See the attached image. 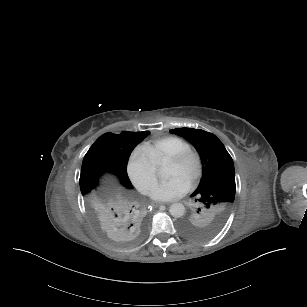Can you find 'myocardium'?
Listing matches in <instances>:
<instances>
[{
	"instance_id": "f54148a6",
	"label": "myocardium",
	"mask_w": 307,
	"mask_h": 307,
	"mask_svg": "<svg viewBox=\"0 0 307 307\" xmlns=\"http://www.w3.org/2000/svg\"><path fill=\"white\" fill-rule=\"evenodd\" d=\"M193 154L197 155L198 157V167L196 171L188 179V182L190 184H193L196 181H198L205 173L206 158L202 148L194 144H191L188 147L180 150L179 152L169 155L167 157V159L173 163L182 164Z\"/></svg>"
}]
</instances>
